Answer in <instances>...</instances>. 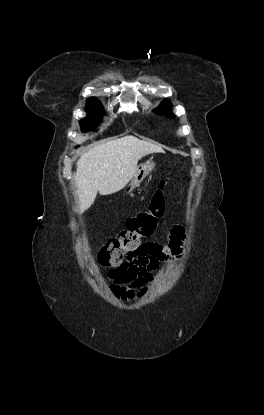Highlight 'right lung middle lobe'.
<instances>
[{
  "label": "right lung middle lobe",
  "instance_id": "right-lung-middle-lobe-1",
  "mask_svg": "<svg viewBox=\"0 0 264 415\" xmlns=\"http://www.w3.org/2000/svg\"><path fill=\"white\" fill-rule=\"evenodd\" d=\"M88 116L80 120L82 131L87 132L102 120L104 114L101 103L98 100L87 101Z\"/></svg>",
  "mask_w": 264,
  "mask_h": 415
}]
</instances>
